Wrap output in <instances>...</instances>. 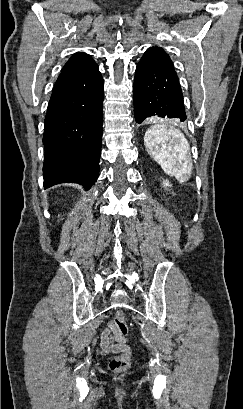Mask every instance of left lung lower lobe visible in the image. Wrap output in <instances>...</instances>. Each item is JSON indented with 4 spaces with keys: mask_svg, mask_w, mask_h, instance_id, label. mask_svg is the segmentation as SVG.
Listing matches in <instances>:
<instances>
[{
    "mask_svg": "<svg viewBox=\"0 0 243 409\" xmlns=\"http://www.w3.org/2000/svg\"><path fill=\"white\" fill-rule=\"evenodd\" d=\"M137 123L151 116L186 120L182 89L174 70L140 61L133 84Z\"/></svg>",
    "mask_w": 243,
    "mask_h": 409,
    "instance_id": "obj_1",
    "label": "left lung lower lobe"
}]
</instances>
